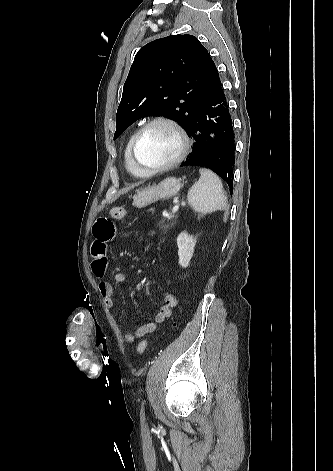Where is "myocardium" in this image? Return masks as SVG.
<instances>
[{
  "label": "myocardium",
  "mask_w": 333,
  "mask_h": 471,
  "mask_svg": "<svg viewBox=\"0 0 333 471\" xmlns=\"http://www.w3.org/2000/svg\"><path fill=\"white\" fill-rule=\"evenodd\" d=\"M155 124H164V125L169 126L171 129H173L174 132L178 136V139L180 142V149H179L178 155L170 162L159 165V166L147 167V166L142 165L139 162L138 157H137V150H138L140 141L142 137L144 136V134L146 133V131ZM189 149H190V139L186 131L183 129V127L171 118L164 117V116H157L148 120L146 123H144L134 134V137L131 142V147H130V157L135 168L138 171H140L143 175L148 176V175L161 173V172H164V171H167L176 167L185 159V157L188 154Z\"/></svg>",
  "instance_id": "obj_1"
}]
</instances>
